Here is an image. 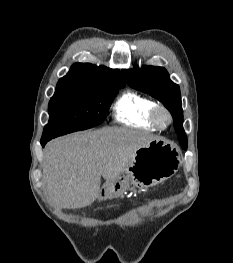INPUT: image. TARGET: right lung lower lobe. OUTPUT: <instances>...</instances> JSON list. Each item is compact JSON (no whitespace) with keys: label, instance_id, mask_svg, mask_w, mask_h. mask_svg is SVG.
I'll return each instance as SVG.
<instances>
[{"label":"right lung lower lobe","instance_id":"right-lung-lower-lobe-1","mask_svg":"<svg viewBox=\"0 0 233 263\" xmlns=\"http://www.w3.org/2000/svg\"><path fill=\"white\" fill-rule=\"evenodd\" d=\"M48 141H49V140H41V145H42V147H44L45 144H46Z\"/></svg>","mask_w":233,"mask_h":263}]
</instances>
